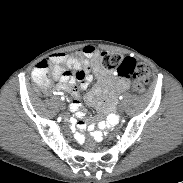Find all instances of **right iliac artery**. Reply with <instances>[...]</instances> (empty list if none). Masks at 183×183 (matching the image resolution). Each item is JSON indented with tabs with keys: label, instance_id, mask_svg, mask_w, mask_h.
Masks as SVG:
<instances>
[{
	"label": "right iliac artery",
	"instance_id": "obj_1",
	"mask_svg": "<svg viewBox=\"0 0 183 183\" xmlns=\"http://www.w3.org/2000/svg\"><path fill=\"white\" fill-rule=\"evenodd\" d=\"M62 100H64L65 98L64 97H61Z\"/></svg>",
	"mask_w": 183,
	"mask_h": 183
}]
</instances>
